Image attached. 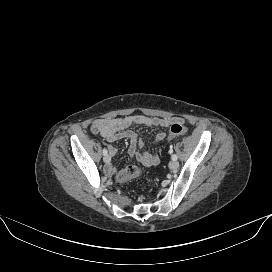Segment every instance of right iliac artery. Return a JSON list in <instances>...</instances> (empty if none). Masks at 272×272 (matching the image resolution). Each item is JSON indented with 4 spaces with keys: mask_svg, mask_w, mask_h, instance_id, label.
<instances>
[{
    "mask_svg": "<svg viewBox=\"0 0 272 272\" xmlns=\"http://www.w3.org/2000/svg\"><path fill=\"white\" fill-rule=\"evenodd\" d=\"M107 153H108L107 149L104 148V149H103V154H104V155H107Z\"/></svg>",
    "mask_w": 272,
    "mask_h": 272,
    "instance_id": "1",
    "label": "right iliac artery"
}]
</instances>
